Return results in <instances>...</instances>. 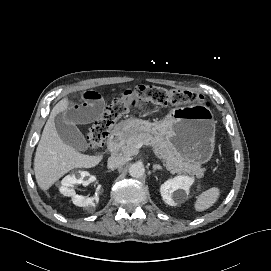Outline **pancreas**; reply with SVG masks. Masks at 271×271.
Wrapping results in <instances>:
<instances>
[{
	"mask_svg": "<svg viewBox=\"0 0 271 271\" xmlns=\"http://www.w3.org/2000/svg\"><path fill=\"white\" fill-rule=\"evenodd\" d=\"M144 144L153 148L156 156L163 162L165 168L172 174L190 173L202 178L204 169L200 164H191L186 161L173 147V145L160 135H152L148 132H138L130 135L121 147L124 155L131 156L138 153L137 144Z\"/></svg>",
	"mask_w": 271,
	"mask_h": 271,
	"instance_id": "1",
	"label": "pancreas"
}]
</instances>
